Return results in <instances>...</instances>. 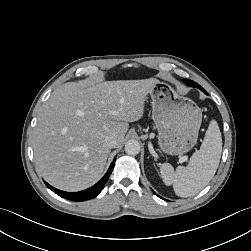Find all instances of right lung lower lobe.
Returning a JSON list of instances; mask_svg holds the SVG:
<instances>
[{
	"label": "right lung lower lobe",
	"instance_id": "right-lung-lower-lobe-1",
	"mask_svg": "<svg viewBox=\"0 0 251 251\" xmlns=\"http://www.w3.org/2000/svg\"><path fill=\"white\" fill-rule=\"evenodd\" d=\"M114 163H115V159L114 161L111 163L108 171L106 172V174L103 176V178L97 182L94 186L83 190V191H79V192H65V191H61L58 190L54 187H52L51 185H49L47 182H45L46 186L52 190L54 193H56L57 195H59L60 197L66 198L68 200L71 201H76V202H81V201H86L92 198H95L104 188L105 183L107 182L109 176L112 173L113 167H114Z\"/></svg>",
	"mask_w": 251,
	"mask_h": 251
}]
</instances>
